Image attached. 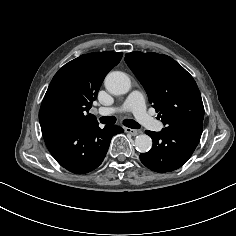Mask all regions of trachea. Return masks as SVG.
Here are the masks:
<instances>
[{"instance_id":"trachea-1","label":"trachea","mask_w":236,"mask_h":236,"mask_svg":"<svg viewBox=\"0 0 236 236\" xmlns=\"http://www.w3.org/2000/svg\"><path fill=\"white\" fill-rule=\"evenodd\" d=\"M100 122L102 124H114L116 122V118L115 117H109V116H103L100 118ZM123 124L126 127L132 128V129H139L140 125L134 121V120H130V119H126L123 121Z\"/></svg>"}]
</instances>
